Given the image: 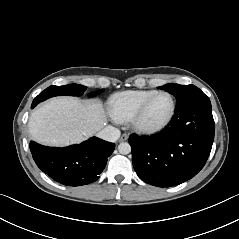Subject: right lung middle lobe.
Listing matches in <instances>:
<instances>
[{"label":"right lung middle lobe","mask_w":239,"mask_h":239,"mask_svg":"<svg viewBox=\"0 0 239 239\" xmlns=\"http://www.w3.org/2000/svg\"><path fill=\"white\" fill-rule=\"evenodd\" d=\"M87 87L79 84H69L64 86H50L41 92L32 103V107L36 106L41 101H44L53 96H60V95H69V96H81L86 91ZM103 92V90L94 92L91 95L94 96Z\"/></svg>","instance_id":"right-lung-middle-lobe-1"}]
</instances>
